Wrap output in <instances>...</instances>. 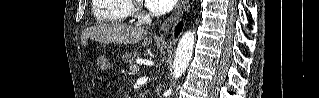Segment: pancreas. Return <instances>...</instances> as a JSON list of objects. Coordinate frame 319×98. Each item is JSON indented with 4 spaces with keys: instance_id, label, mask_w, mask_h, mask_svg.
<instances>
[{
    "instance_id": "cf45deb5",
    "label": "pancreas",
    "mask_w": 319,
    "mask_h": 98,
    "mask_svg": "<svg viewBox=\"0 0 319 98\" xmlns=\"http://www.w3.org/2000/svg\"><path fill=\"white\" fill-rule=\"evenodd\" d=\"M139 56V53L138 52H131V53H125L124 55H123V61L124 62H130L133 58H135V57H138Z\"/></svg>"
}]
</instances>
